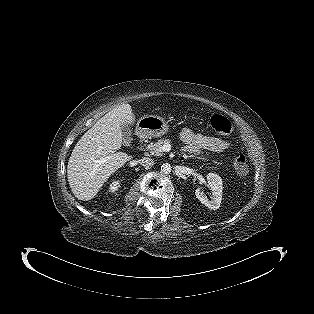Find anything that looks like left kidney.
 Returning <instances> with one entry per match:
<instances>
[{
	"label": "left kidney",
	"mask_w": 314,
	"mask_h": 314,
	"mask_svg": "<svg viewBox=\"0 0 314 314\" xmlns=\"http://www.w3.org/2000/svg\"><path fill=\"white\" fill-rule=\"evenodd\" d=\"M206 178L208 185L212 190L211 199L208 200V198L204 195V192L201 190L200 187H198L195 190V195L203 205H205L211 210H216L220 207L222 201L223 189L222 179L220 176L214 173L207 174Z\"/></svg>",
	"instance_id": "obj_1"
}]
</instances>
